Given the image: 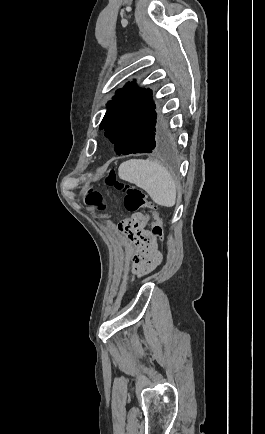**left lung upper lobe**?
Returning a JSON list of instances; mask_svg holds the SVG:
<instances>
[{"label": "left lung upper lobe", "instance_id": "left-lung-upper-lobe-1", "mask_svg": "<svg viewBox=\"0 0 265 434\" xmlns=\"http://www.w3.org/2000/svg\"><path fill=\"white\" fill-rule=\"evenodd\" d=\"M154 109L151 90L137 88L133 82L128 83L108 103L100 129L106 131L105 135L115 148L121 147L129 138L156 126Z\"/></svg>", "mask_w": 265, "mask_h": 434}]
</instances>
